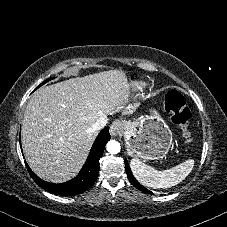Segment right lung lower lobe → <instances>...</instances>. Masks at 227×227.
Wrapping results in <instances>:
<instances>
[{
    "label": "right lung lower lobe",
    "mask_w": 227,
    "mask_h": 227,
    "mask_svg": "<svg viewBox=\"0 0 227 227\" xmlns=\"http://www.w3.org/2000/svg\"><path fill=\"white\" fill-rule=\"evenodd\" d=\"M109 139V131L105 128L96 138L86 163L79 174L68 182L62 184L46 182L35 175L27 164L26 167L33 180L44 190L55 195L75 196L76 194H80L89 189L96 181L99 172V159L101 158L104 147Z\"/></svg>",
    "instance_id": "obj_1"
}]
</instances>
